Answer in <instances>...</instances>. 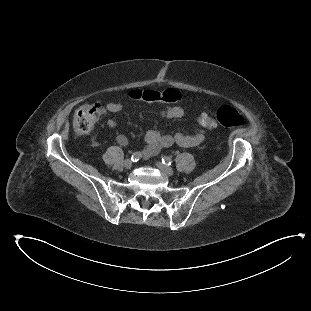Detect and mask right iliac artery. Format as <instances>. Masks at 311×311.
<instances>
[{
	"instance_id": "1",
	"label": "right iliac artery",
	"mask_w": 311,
	"mask_h": 311,
	"mask_svg": "<svg viewBox=\"0 0 311 311\" xmlns=\"http://www.w3.org/2000/svg\"><path fill=\"white\" fill-rule=\"evenodd\" d=\"M141 157H142L141 152H135V153H133V155L131 156V160H132L133 162H137Z\"/></svg>"
}]
</instances>
